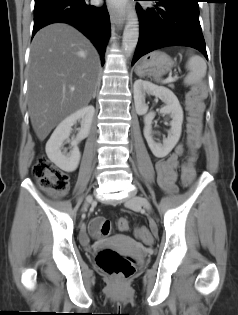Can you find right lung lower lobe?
I'll return each mask as SVG.
<instances>
[{
    "mask_svg": "<svg viewBox=\"0 0 238 315\" xmlns=\"http://www.w3.org/2000/svg\"><path fill=\"white\" fill-rule=\"evenodd\" d=\"M68 23L80 30L97 48L104 64V54L110 37V18L106 6L96 7L86 0H35L33 34L42 27Z\"/></svg>",
    "mask_w": 238,
    "mask_h": 315,
    "instance_id": "obj_1",
    "label": "right lung lower lobe"
}]
</instances>
